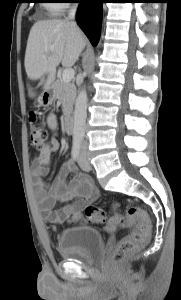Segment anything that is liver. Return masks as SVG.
Masks as SVG:
<instances>
[{
  "label": "liver",
  "instance_id": "1",
  "mask_svg": "<svg viewBox=\"0 0 181 300\" xmlns=\"http://www.w3.org/2000/svg\"><path fill=\"white\" fill-rule=\"evenodd\" d=\"M85 44V37L74 22L59 19L37 21L30 30L25 53L28 78L41 79L44 91L50 89L57 66L62 63L65 67H72ZM29 91L30 96L35 97V93Z\"/></svg>",
  "mask_w": 181,
  "mask_h": 300
}]
</instances>
